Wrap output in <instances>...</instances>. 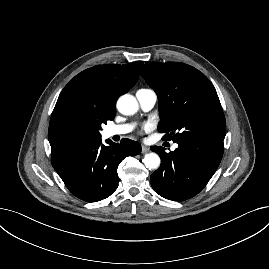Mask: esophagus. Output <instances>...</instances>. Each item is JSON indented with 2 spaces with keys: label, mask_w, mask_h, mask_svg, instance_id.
<instances>
[{
  "label": "esophagus",
  "mask_w": 269,
  "mask_h": 269,
  "mask_svg": "<svg viewBox=\"0 0 269 269\" xmlns=\"http://www.w3.org/2000/svg\"><path fill=\"white\" fill-rule=\"evenodd\" d=\"M141 149H142V153H147L149 151V147L145 145H142Z\"/></svg>",
  "instance_id": "34e87169"
}]
</instances>
